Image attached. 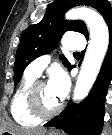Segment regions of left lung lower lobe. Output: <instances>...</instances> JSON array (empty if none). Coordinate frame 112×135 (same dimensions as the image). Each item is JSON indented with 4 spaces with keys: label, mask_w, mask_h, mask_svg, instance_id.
Wrapping results in <instances>:
<instances>
[{
    "label": "left lung lower lobe",
    "mask_w": 112,
    "mask_h": 135,
    "mask_svg": "<svg viewBox=\"0 0 112 135\" xmlns=\"http://www.w3.org/2000/svg\"><path fill=\"white\" fill-rule=\"evenodd\" d=\"M107 25L108 51L88 97L80 104H73L70 101L64 111L44 126L63 129L71 135H100L103 126L104 100L112 78V17L107 21Z\"/></svg>",
    "instance_id": "obj_1"
}]
</instances>
